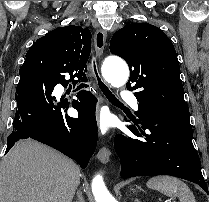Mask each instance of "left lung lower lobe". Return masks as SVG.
Returning <instances> with one entry per match:
<instances>
[{"mask_svg": "<svg viewBox=\"0 0 209 202\" xmlns=\"http://www.w3.org/2000/svg\"><path fill=\"white\" fill-rule=\"evenodd\" d=\"M136 116L139 120H132L136 126H127L131 136L117 134L114 139L121 177L171 175L194 182L209 194L192 143L189 111L139 104Z\"/></svg>", "mask_w": 209, "mask_h": 202, "instance_id": "obj_1", "label": "left lung lower lobe"}]
</instances>
